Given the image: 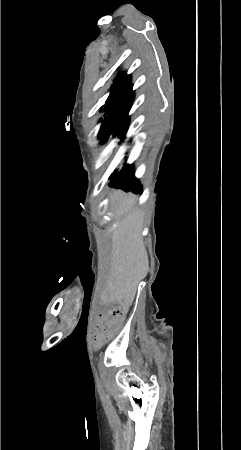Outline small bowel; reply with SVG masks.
<instances>
[{"instance_id": "small-bowel-1", "label": "small bowel", "mask_w": 241, "mask_h": 450, "mask_svg": "<svg viewBox=\"0 0 241 450\" xmlns=\"http://www.w3.org/2000/svg\"><path fill=\"white\" fill-rule=\"evenodd\" d=\"M116 305L118 307L116 310H112V312L110 310H98L96 312V317L98 319H110L111 317L112 319H126L128 312L127 301L121 300ZM95 327L94 334L96 336H94L91 345L94 348H98L105 341L103 335H106L105 337L109 341L113 339V335L117 333L116 329L120 327V322L118 320H113L107 323L106 321L97 320L95 322Z\"/></svg>"}]
</instances>
